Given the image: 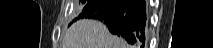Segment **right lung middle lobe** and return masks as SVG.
<instances>
[{"label":"right lung middle lobe","mask_w":213,"mask_h":48,"mask_svg":"<svg viewBox=\"0 0 213 48\" xmlns=\"http://www.w3.org/2000/svg\"><path fill=\"white\" fill-rule=\"evenodd\" d=\"M86 0H80V3L85 4ZM80 16V15H79ZM79 18V17H78Z\"/></svg>","instance_id":"dd1d6c3e"}]
</instances>
